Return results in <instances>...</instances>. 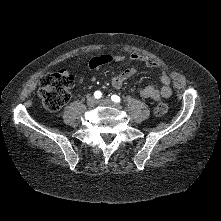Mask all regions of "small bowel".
Instances as JSON below:
<instances>
[{"instance_id": "c3829d8e", "label": "small bowel", "mask_w": 221, "mask_h": 221, "mask_svg": "<svg viewBox=\"0 0 221 221\" xmlns=\"http://www.w3.org/2000/svg\"><path fill=\"white\" fill-rule=\"evenodd\" d=\"M128 59L130 61H142L145 63L147 67L154 66V62L151 59L147 57H142L141 55L137 53H133L129 55ZM124 60H125V57L122 55L105 54V55H99V56L93 57L89 61L88 66L92 70H98L105 65H108L111 63L122 62ZM62 71L64 73H68L65 70H62ZM136 72L137 70L134 67L126 68L125 70L121 71L120 73H118L111 79V85L116 89L121 88L122 85L129 78H131L132 76L136 74ZM81 81L83 80L81 79ZM160 82L162 84V87L160 89H157L154 85H147L140 91V95L143 98L152 99L154 101H159L161 100V98H165V99L169 98L172 95V90L170 87V84H171L170 77L167 74L163 73L160 76Z\"/></svg>"}]
</instances>
